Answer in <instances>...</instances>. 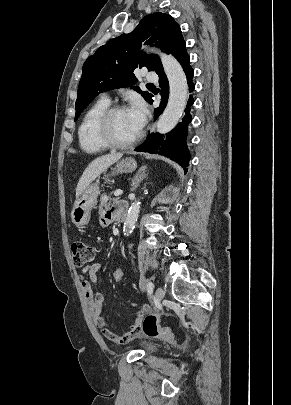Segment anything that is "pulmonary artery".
<instances>
[{
  "label": "pulmonary artery",
  "instance_id": "obj_1",
  "mask_svg": "<svg viewBox=\"0 0 291 405\" xmlns=\"http://www.w3.org/2000/svg\"><path fill=\"white\" fill-rule=\"evenodd\" d=\"M145 79L149 82H156L158 80V76L155 72L150 71L145 74ZM101 99L105 100L107 102L110 101V99L107 95H103Z\"/></svg>",
  "mask_w": 291,
  "mask_h": 405
}]
</instances>
